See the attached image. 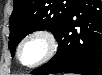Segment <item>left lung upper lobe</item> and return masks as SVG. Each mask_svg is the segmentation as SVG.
<instances>
[{
  "label": "left lung upper lobe",
  "instance_id": "left-lung-upper-lobe-1",
  "mask_svg": "<svg viewBox=\"0 0 102 75\" xmlns=\"http://www.w3.org/2000/svg\"><path fill=\"white\" fill-rule=\"evenodd\" d=\"M81 0H14L10 16L9 49L14 55L16 45L29 33L49 30L56 35Z\"/></svg>",
  "mask_w": 102,
  "mask_h": 75
}]
</instances>
